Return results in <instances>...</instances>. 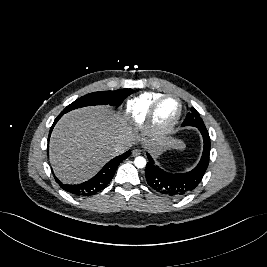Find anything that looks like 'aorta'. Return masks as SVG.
I'll list each match as a JSON object with an SVG mask.
<instances>
[{"instance_id": "aorta-1", "label": "aorta", "mask_w": 267, "mask_h": 267, "mask_svg": "<svg viewBox=\"0 0 267 267\" xmlns=\"http://www.w3.org/2000/svg\"><path fill=\"white\" fill-rule=\"evenodd\" d=\"M134 164L137 168H144L146 166V159L142 156H138L135 158Z\"/></svg>"}]
</instances>
